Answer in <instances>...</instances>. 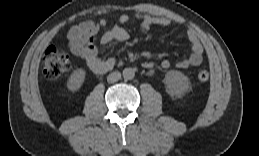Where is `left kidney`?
<instances>
[{
    "label": "left kidney",
    "instance_id": "5707ae66",
    "mask_svg": "<svg viewBox=\"0 0 259 156\" xmlns=\"http://www.w3.org/2000/svg\"><path fill=\"white\" fill-rule=\"evenodd\" d=\"M164 84L166 92L176 98H181L184 94L189 91L190 81L180 71L171 70L168 71L164 78Z\"/></svg>",
    "mask_w": 259,
    "mask_h": 156
}]
</instances>
